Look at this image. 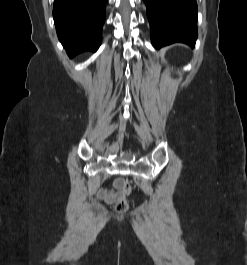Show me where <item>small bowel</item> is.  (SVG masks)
<instances>
[{
    "label": "small bowel",
    "mask_w": 247,
    "mask_h": 265,
    "mask_svg": "<svg viewBox=\"0 0 247 265\" xmlns=\"http://www.w3.org/2000/svg\"><path fill=\"white\" fill-rule=\"evenodd\" d=\"M122 195L121 192V181L118 180L115 182L114 187L112 189H100L97 192L98 198L105 201L106 203H114L120 199Z\"/></svg>",
    "instance_id": "small-bowel-1"
}]
</instances>
